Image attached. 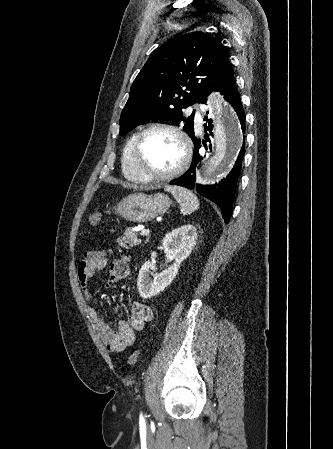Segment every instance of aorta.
Segmentation results:
<instances>
[{
    "label": "aorta",
    "mask_w": 333,
    "mask_h": 449,
    "mask_svg": "<svg viewBox=\"0 0 333 449\" xmlns=\"http://www.w3.org/2000/svg\"><path fill=\"white\" fill-rule=\"evenodd\" d=\"M209 103L216 113L213 154L202 161L200 177L210 179L226 168L241 144L237 118L226 99L219 94L210 97Z\"/></svg>",
    "instance_id": "aorta-1"
}]
</instances>
